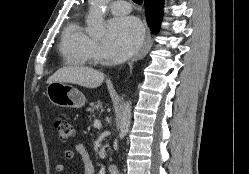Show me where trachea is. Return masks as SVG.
Here are the masks:
<instances>
[{"instance_id": "3493384b", "label": "trachea", "mask_w": 249, "mask_h": 174, "mask_svg": "<svg viewBox=\"0 0 249 174\" xmlns=\"http://www.w3.org/2000/svg\"><path fill=\"white\" fill-rule=\"evenodd\" d=\"M133 2H135L136 4H142L143 0H132Z\"/></svg>"}]
</instances>
